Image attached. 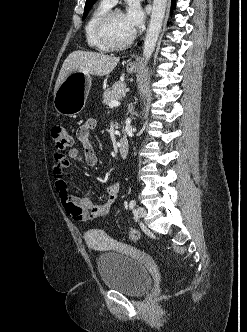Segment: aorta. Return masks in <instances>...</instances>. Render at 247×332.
Listing matches in <instances>:
<instances>
[{
    "label": "aorta",
    "mask_w": 247,
    "mask_h": 332,
    "mask_svg": "<svg viewBox=\"0 0 247 332\" xmlns=\"http://www.w3.org/2000/svg\"><path fill=\"white\" fill-rule=\"evenodd\" d=\"M167 0H153L149 28L146 33L143 49V60L147 63L155 49L165 16Z\"/></svg>",
    "instance_id": "1"
}]
</instances>
